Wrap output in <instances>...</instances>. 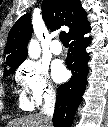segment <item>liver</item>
<instances>
[{"instance_id": "liver-1", "label": "liver", "mask_w": 108, "mask_h": 127, "mask_svg": "<svg viewBox=\"0 0 108 127\" xmlns=\"http://www.w3.org/2000/svg\"><path fill=\"white\" fill-rule=\"evenodd\" d=\"M6 127H45L44 116L40 113L13 119Z\"/></svg>"}]
</instances>
